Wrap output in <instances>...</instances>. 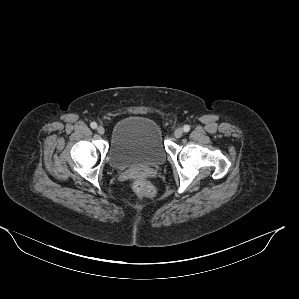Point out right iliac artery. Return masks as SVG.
<instances>
[{"label":"right iliac artery","instance_id":"obj_1","mask_svg":"<svg viewBox=\"0 0 299 299\" xmlns=\"http://www.w3.org/2000/svg\"><path fill=\"white\" fill-rule=\"evenodd\" d=\"M90 126H91V128L95 129V128L97 127V124H96L95 122H92V123L90 124Z\"/></svg>","mask_w":299,"mask_h":299}]
</instances>
